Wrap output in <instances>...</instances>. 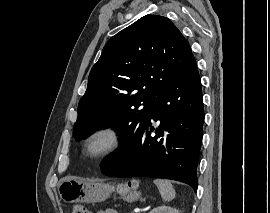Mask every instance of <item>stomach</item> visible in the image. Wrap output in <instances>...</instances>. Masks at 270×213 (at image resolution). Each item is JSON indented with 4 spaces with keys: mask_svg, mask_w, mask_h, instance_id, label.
I'll use <instances>...</instances> for the list:
<instances>
[{
    "mask_svg": "<svg viewBox=\"0 0 270 213\" xmlns=\"http://www.w3.org/2000/svg\"><path fill=\"white\" fill-rule=\"evenodd\" d=\"M115 186L97 180L65 177L58 186L60 198L66 203H93L107 199ZM140 192H130L124 196L128 201L140 198Z\"/></svg>",
    "mask_w": 270,
    "mask_h": 213,
    "instance_id": "1",
    "label": "stomach"
}]
</instances>
